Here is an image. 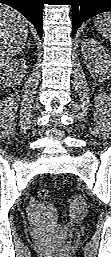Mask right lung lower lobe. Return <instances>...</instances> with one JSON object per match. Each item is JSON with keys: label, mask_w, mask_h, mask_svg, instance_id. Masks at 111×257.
Returning a JSON list of instances; mask_svg holds the SVG:
<instances>
[{"label": "right lung lower lobe", "mask_w": 111, "mask_h": 257, "mask_svg": "<svg viewBox=\"0 0 111 257\" xmlns=\"http://www.w3.org/2000/svg\"><path fill=\"white\" fill-rule=\"evenodd\" d=\"M0 3L9 5L18 10L35 26L38 35L40 37L42 36L44 0H0Z\"/></svg>", "instance_id": "obj_1"}]
</instances>
